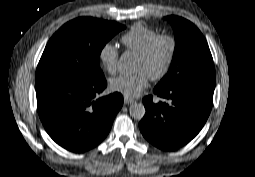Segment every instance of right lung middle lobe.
Instances as JSON below:
<instances>
[{
  "label": "right lung middle lobe",
  "mask_w": 255,
  "mask_h": 177,
  "mask_svg": "<svg viewBox=\"0 0 255 177\" xmlns=\"http://www.w3.org/2000/svg\"><path fill=\"white\" fill-rule=\"evenodd\" d=\"M125 26L81 17L63 25L49 40L36 70L35 82L46 79L95 81L104 77L100 53Z\"/></svg>",
  "instance_id": "obj_1"
}]
</instances>
